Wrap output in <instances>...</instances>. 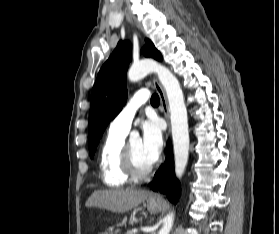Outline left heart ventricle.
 <instances>
[{
  "mask_svg": "<svg viewBox=\"0 0 279 234\" xmlns=\"http://www.w3.org/2000/svg\"><path fill=\"white\" fill-rule=\"evenodd\" d=\"M133 151L135 161L141 168L148 166L153 160L145 152L140 138H134L129 141Z\"/></svg>",
  "mask_w": 279,
  "mask_h": 234,
  "instance_id": "obj_1",
  "label": "left heart ventricle"
}]
</instances>
